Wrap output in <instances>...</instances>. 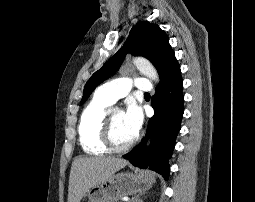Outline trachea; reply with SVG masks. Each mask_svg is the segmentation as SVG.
<instances>
[{
  "mask_svg": "<svg viewBox=\"0 0 255 202\" xmlns=\"http://www.w3.org/2000/svg\"><path fill=\"white\" fill-rule=\"evenodd\" d=\"M144 95H145V96H150V94H149V93H145Z\"/></svg>",
  "mask_w": 255,
  "mask_h": 202,
  "instance_id": "obj_1",
  "label": "trachea"
}]
</instances>
